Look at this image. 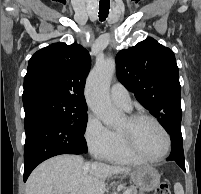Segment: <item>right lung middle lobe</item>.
Returning a JSON list of instances; mask_svg holds the SVG:
<instances>
[{
	"instance_id": "right-lung-middle-lobe-1",
	"label": "right lung middle lobe",
	"mask_w": 201,
	"mask_h": 194,
	"mask_svg": "<svg viewBox=\"0 0 201 194\" xmlns=\"http://www.w3.org/2000/svg\"><path fill=\"white\" fill-rule=\"evenodd\" d=\"M24 110L39 109L49 112L64 122L72 125L81 135L85 133L87 106L65 98L44 96L23 103Z\"/></svg>"
}]
</instances>
